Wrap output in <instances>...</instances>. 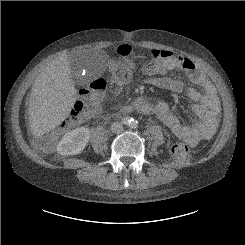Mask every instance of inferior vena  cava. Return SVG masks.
Returning a JSON list of instances; mask_svg holds the SVG:
<instances>
[{"label":"inferior vena cava","instance_id":"602c4592","mask_svg":"<svg viewBox=\"0 0 245 245\" xmlns=\"http://www.w3.org/2000/svg\"><path fill=\"white\" fill-rule=\"evenodd\" d=\"M123 130L121 122H114L111 124V131L114 133H120Z\"/></svg>","mask_w":245,"mask_h":245}]
</instances>
